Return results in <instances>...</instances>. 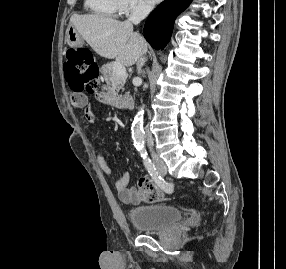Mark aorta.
Wrapping results in <instances>:
<instances>
[{
    "label": "aorta",
    "instance_id": "762f6f07",
    "mask_svg": "<svg viewBox=\"0 0 286 269\" xmlns=\"http://www.w3.org/2000/svg\"><path fill=\"white\" fill-rule=\"evenodd\" d=\"M143 115H144V110L143 107H141L135 115L131 127V133L134 145L138 150V152L142 155H146L145 135H144L145 133L143 130V117H144Z\"/></svg>",
    "mask_w": 286,
    "mask_h": 269
}]
</instances>
